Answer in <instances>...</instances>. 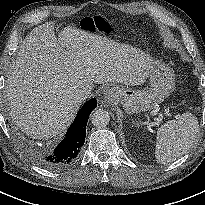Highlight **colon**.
Here are the masks:
<instances>
[{"label":"colon","instance_id":"1","mask_svg":"<svg viewBox=\"0 0 205 205\" xmlns=\"http://www.w3.org/2000/svg\"><path fill=\"white\" fill-rule=\"evenodd\" d=\"M92 21L94 22L97 28H99L104 24V21L100 18H94Z\"/></svg>","mask_w":205,"mask_h":205}]
</instances>
